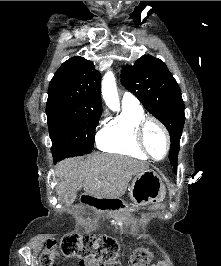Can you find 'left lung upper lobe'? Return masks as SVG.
I'll return each instance as SVG.
<instances>
[{
  "instance_id": "5c2ea615",
  "label": "left lung upper lobe",
  "mask_w": 221,
  "mask_h": 266,
  "mask_svg": "<svg viewBox=\"0 0 221 266\" xmlns=\"http://www.w3.org/2000/svg\"><path fill=\"white\" fill-rule=\"evenodd\" d=\"M121 83L168 129L171 138L169 160L177 166L179 142L185 122L180 87L163 61L144 55L121 72Z\"/></svg>"
}]
</instances>
